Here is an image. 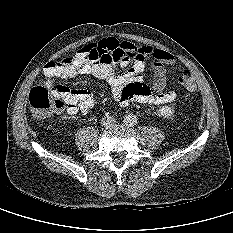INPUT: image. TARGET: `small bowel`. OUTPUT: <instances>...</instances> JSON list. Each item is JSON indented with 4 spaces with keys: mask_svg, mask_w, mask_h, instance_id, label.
Segmentation results:
<instances>
[{
    "mask_svg": "<svg viewBox=\"0 0 233 233\" xmlns=\"http://www.w3.org/2000/svg\"><path fill=\"white\" fill-rule=\"evenodd\" d=\"M87 55V58L85 55ZM146 59L154 68L152 88L144 83ZM174 57L152 47H137L113 38L81 48L71 63L46 64L41 85L60 95L69 115L87 114L94 106L93 94L86 89H69L60 81L90 75L105 81L112 96L123 107L135 101L141 104L163 105L176 99L173 90L166 89L165 66H174Z\"/></svg>",
    "mask_w": 233,
    "mask_h": 233,
    "instance_id": "small-bowel-1",
    "label": "small bowel"
}]
</instances>
